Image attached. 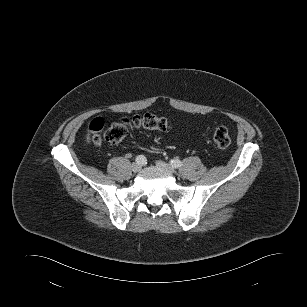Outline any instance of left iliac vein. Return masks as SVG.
<instances>
[{
    "instance_id": "1",
    "label": "left iliac vein",
    "mask_w": 307,
    "mask_h": 307,
    "mask_svg": "<svg viewBox=\"0 0 307 307\" xmlns=\"http://www.w3.org/2000/svg\"><path fill=\"white\" fill-rule=\"evenodd\" d=\"M156 165L161 168L166 170L167 172L173 174L175 172L174 168L172 166H170L169 164L163 162V161H157Z\"/></svg>"
}]
</instances>
